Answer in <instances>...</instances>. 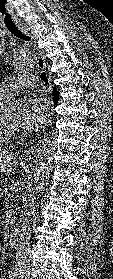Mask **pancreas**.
Listing matches in <instances>:
<instances>
[{"instance_id": "1", "label": "pancreas", "mask_w": 113, "mask_h": 279, "mask_svg": "<svg viewBox=\"0 0 113 279\" xmlns=\"http://www.w3.org/2000/svg\"><path fill=\"white\" fill-rule=\"evenodd\" d=\"M11 186L12 185L8 181H5L3 186L0 187V197L6 195Z\"/></svg>"}]
</instances>
